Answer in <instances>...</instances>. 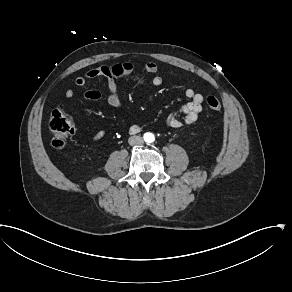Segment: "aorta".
I'll list each match as a JSON object with an SVG mask.
<instances>
[{"instance_id": "1", "label": "aorta", "mask_w": 292, "mask_h": 292, "mask_svg": "<svg viewBox=\"0 0 292 292\" xmlns=\"http://www.w3.org/2000/svg\"><path fill=\"white\" fill-rule=\"evenodd\" d=\"M144 138H145L146 142H153L154 141V135L151 133H146L144 135Z\"/></svg>"}]
</instances>
